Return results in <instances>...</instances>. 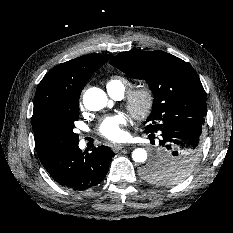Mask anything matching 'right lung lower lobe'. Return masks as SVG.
I'll list each match as a JSON object with an SVG mask.
<instances>
[{"mask_svg":"<svg viewBox=\"0 0 233 233\" xmlns=\"http://www.w3.org/2000/svg\"><path fill=\"white\" fill-rule=\"evenodd\" d=\"M45 169L61 186L73 190L88 189L103 180L115 155L107 146L90 153L82 152L78 144L54 152L38 153Z\"/></svg>","mask_w":233,"mask_h":233,"instance_id":"obj_1","label":"right lung lower lobe"}]
</instances>
